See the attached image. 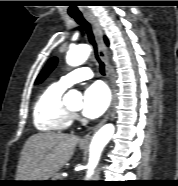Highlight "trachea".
<instances>
[{
  "label": "trachea",
  "mask_w": 178,
  "mask_h": 186,
  "mask_svg": "<svg viewBox=\"0 0 178 186\" xmlns=\"http://www.w3.org/2000/svg\"><path fill=\"white\" fill-rule=\"evenodd\" d=\"M73 18L78 24H80L85 29V31L88 35V39H89L90 43L93 45L95 57L99 63L100 72L102 75H105V66L98 56L97 46H96V43L94 40V34H93L92 27H91L90 23L82 16H74Z\"/></svg>",
  "instance_id": "obj_1"
}]
</instances>
